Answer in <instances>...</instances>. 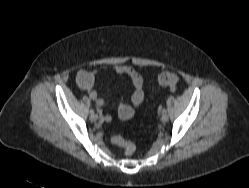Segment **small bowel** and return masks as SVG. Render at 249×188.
Returning <instances> with one entry per match:
<instances>
[{
	"instance_id": "c3829d8e",
	"label": "small bowel",
	"mask_w": 249,
	"mask_h": 188,
	"mask_svg": "<svg viewBox=\"0 0 249 188\" xmlns=\"http://www.w3.org/2000/svg\"><path fill=\"white\" fill-rule=\"evenodd\" d=\"M103 71V68H98L94 71H80L77 76V83L80 88L85 90L90 99L94 102L100 120L110 122L111 115L103 113L104 101L98 97L97 91L94 87L95 78ZM117 75L128 76L133 84V91L131 94V105L123 101L119 102L118 114L122 119H129L133 116L136 109L142 104L144 100V77L133 67L127 65H117L113 68Z\"/></svg>"
}]
</instances>
